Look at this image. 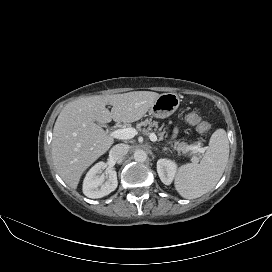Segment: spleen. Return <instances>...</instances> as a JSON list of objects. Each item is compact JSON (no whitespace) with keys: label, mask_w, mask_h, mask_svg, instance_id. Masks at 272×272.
<instances>
[{"label":"spleen","mask_w":272,"mask_h":272,"mask_svg":"<svg viewBox=\"0 0 272 272\" xmlns=\"http://www.w3.org/2000/svg\"><path fill=\"white\" fill-rule=\"evenodd\" d=\"M229 157V141L224 129L211 136L209 147L200 163L182 165L175 177L177 192L186 199H194L210 191L220 180Z\"/></svg>","instance_id":"3e777b00"}]
</instances>
